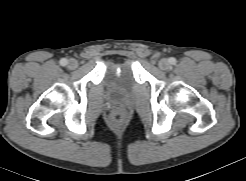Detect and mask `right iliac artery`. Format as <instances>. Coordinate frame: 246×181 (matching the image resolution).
<instances>
[{
  "label": "right iliac artery",
  "mask_w": 246,
  "mask_h": 181,
  "mask_svg": "<svg viewBox=\"0 0 246 181\" xmlns=\"http://www.w3.org/2000/svg\"><path fill=\"white\" fill-rule=\"evenodd\" d=\"M67 63H68V60L65 59V58H63V59L60 60V65H62V66L67 65Z\"/></svg>",
  "instance_id": "obj_1"
}]
</instances>
